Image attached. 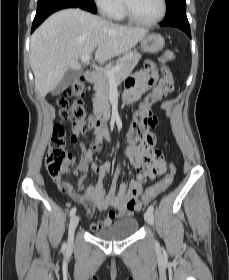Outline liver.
<instances>
[{
	"instance_id": "liver-1",
	"label": "liver",
	"mask_w": 229,
	"mask_h": 280,
	"mask_svg": "<svg viewBox=\"0 0 229 280\" xmlns=\"http://www.w3.org/2000/svg\"><path fill=\"white\" fill-rule=\"evenodd\" d=\"M147 33V29L117 25L81 9L54 13L31 38L29 61L36 91L45 98L68 69H81L82 55L96 50L95 60L104 63L127 53Z\"/></svg>"
}]
</instances>
